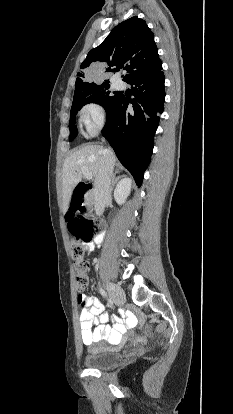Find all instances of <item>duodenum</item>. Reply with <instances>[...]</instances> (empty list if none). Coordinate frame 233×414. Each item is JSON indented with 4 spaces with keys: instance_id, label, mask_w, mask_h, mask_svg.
Returning <instances> with one entry per match:
<instances>
[{
    "instance_id": "duodenum-1",
    "label": "duodenum",
    "mask_w": 233,
    "mask_h": 414,
    "mask_svg": "<svg viewBox=\"0 0 233 414\" xmlns=\"http://www.w3.org/2000/svg\"><path fill=\"white\" fill-rule=\"evenodd\" d=\"M92 186L90 184H86L80 182L74 192L73 203L70 205V210L72 212H81L83 210V205L86 208L91 209L93 207L94 199L92 198ZM90 212L89 210L87 211ZM91 218L90 216L88 217Z\"/></svg>"
}]
</instances>
